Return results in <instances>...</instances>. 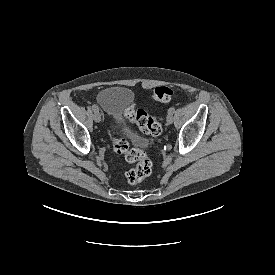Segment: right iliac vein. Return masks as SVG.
Masks as SVG:
<instances>
[{"label":"right iliac vein","instance_id":"right-iliac-vein-1","mask_svg":"<svg viewBox=\"0 0 275 275\" xmlns=\"http://www.w3.org/2000/svg\"><path fill=\"white\" fill-rule=\"evenodd\" d=\"M93 118L95 122H100L101 121V115L98 110H95L93 113Z\"/></svg>","mask_w":275,"mask_h":275}]
</instances>
